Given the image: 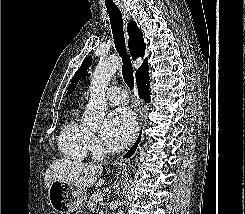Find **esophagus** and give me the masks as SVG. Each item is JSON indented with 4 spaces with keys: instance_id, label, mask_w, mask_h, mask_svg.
Masks as SVG:
<instances>
[{
    "instance_id": "34e87169",
    "label": "esophagus",
    "mask_w": 245,
    "mask_h": 214,
    "mask_svg": "<svg viewBox=\"0 0 245 214\" xmlns=\"http://www.w3.org/2000/svg\"><path fill=\"white\" fill-rule=\"evenodd\" d=\"M122 16H123V22H124V28L126 30V26L128 24V22L130 21V15L128 10L124 7V5L119 4L118 5ZM127 36V34H126ZM137 102L140 103V100L137 99ZM139 127L137 129L136 132V136L133 140V142L131 143V145L129 146V148L120 156L119 161L120 162H128L130 161L131 158H133L135 156V154L137 153L141 142L143 141L144 138V123H143V116H140V123H139Z\"/></svg>"
}]
</instances>
